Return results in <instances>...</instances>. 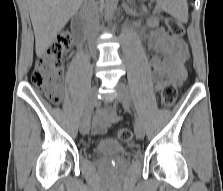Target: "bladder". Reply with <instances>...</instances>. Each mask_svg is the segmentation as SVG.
Returning a JSON list of instances; mask_svg holds the SVG:
<instances>
[{
    "label": "bladder",
    "mask_w": 223,
    "mask_h": 191,
    "mask_svg": "<svg viewBox=\"0 0 223 191\" xmlns=\"http://www.w3.org/2000/svg\"><path fill=\"white\" fill-rule=\"evenodd\" d=\"M124 152L123 144L114 138H104L99 141L96 147V153L99 156L115 157L124 154Z\"/></svg>",
    "instance_id": "bladder-1"
}]
</instances>
